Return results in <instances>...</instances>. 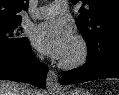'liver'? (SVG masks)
Listing matches in <instances>:
<instances>
[{
    "instance_id": "obj_1",
    "label": "liver",
    "mask_w": 119,
    "mask_h": 95,
    "mask_svg": "<svg viewBox=\"0 0 119 95\" xmlns=\"http://www.w3.org/2000/svg\"><path fill=\"white\" fill-rule=\"evenodd\" d=\"M23 84L0 80V95H21ZM33 95H43L41 90H33Z\"/></svg>"
}]
</instances>
